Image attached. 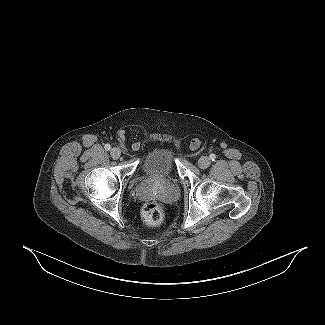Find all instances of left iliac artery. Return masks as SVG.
Returning <instances> with one entry per match:
<instances>
[{"label":"left iliac artery","mask_w":325,"mask_h":325,"mask_svg":"<svg viewBox=\"0 0 325 325\" xmlns=\"http://www.w3.org/2000/svg\"><path fill=\"white\" fill-rule=\"evenodd\" d=\"M210 159H211L212 161H215V159H216V155H215V154H211V155H210Z\"/></svg>","instance_id":"obj_1"}]
</instances>
